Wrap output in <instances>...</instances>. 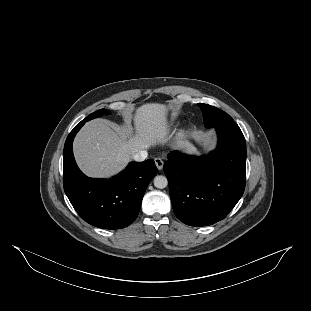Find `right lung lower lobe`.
Segmentation results:
<instances>
[{
	"label": "right lung lower lobe",
	"instance_id": "1",
	"mask_svg": "<svg viewBox=\"0 0 311 311\" xmlns=\"http://www.w3.org/2000/svg\"><path fill=\"white\" fill-rule=\"evenodd\" d=\"M81 121L68 135L64 145L65 193L76 212L89 224L103 229H120L137 217L149 182L157 173L154 160L131 162L111 179L85 176L78 168L72 151Z\"/></svg>",
	"mask_w": 311,
	"mask_h": 311
}]
</instances>
